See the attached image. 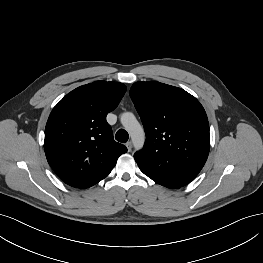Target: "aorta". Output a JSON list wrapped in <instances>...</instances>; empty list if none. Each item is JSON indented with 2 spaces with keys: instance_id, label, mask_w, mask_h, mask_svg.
Listing matches in <instances>:
<instances>
[{
  "instance_id": "aorta-1",
  "label": "aorta",
  "mask_w": 263,
  "mask_h": 263,
  "mask_svg": "<svg viewBox=\"0 0 263 263\" xmlns=\"http://www.w3.org/2000/svg\"><path fill=\"white\" fill-rule=\"evenodd\" d=\"M122 125L129 133L134 147L139 150L143 147L145 141V132L137 121L135 115L131 112H125L120 117Z\"/></svg>"
}]
</instances>
